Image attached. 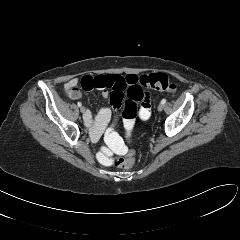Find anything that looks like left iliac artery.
Here are the masks:
<instances>
[{
  "instance_id": "left-iliac-artery-1",
  "label": "left iliac artery",
  "mask_w": 240,
  "mask_h": 240,
  "mask_svg": "<svg viewBox=\"0 0 240 240\" xmlns=\"http://www.w3.org/2000/svg\"><path fill=\"white\" fill-rule=\"evenodd\" d=\"M165 103H166V99H162L161 104H165Z\"/></svg>"
}]
</instances>
